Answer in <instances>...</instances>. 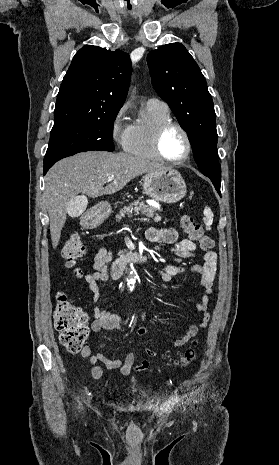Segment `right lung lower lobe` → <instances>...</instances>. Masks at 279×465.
Instances as JSON below:
<instances>
[{"mask_svg": "<svg viewBox=\"0 0 279 465\" xmlns=\"http://www.w3.org/2000/svg\"><path fill=\"white\" fill-rule=\"evenodd\" d=\"M50 167H51V166L44 167V172H43L44 175L47 173V171H48V169H49Z\"/></svg>", "mask_w": 279, "mask_h": 465, "instance_id": "right-lung-lower-lobe-1", "label": "right lung lower lobe"}]
</instances>
